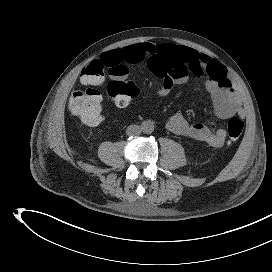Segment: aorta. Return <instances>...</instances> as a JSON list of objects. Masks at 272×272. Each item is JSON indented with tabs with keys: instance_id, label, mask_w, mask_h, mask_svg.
<instances>
[{
	"instance_id": "1",
	"label": "aorta",
	"mask_w": 272,
	"mask_h": 272,
	"mask_svg": "<svg viewBox=\"0 0 272 272\" xmlns=\"http://www.w3.org/2000/svg\"><path fill=\"white\" fill-rule=\"evenodd\" d=\"M143 133L150 134L154 131V123L150 120L144 121L141 125Z\"/></svg>"
}]
</instances>
